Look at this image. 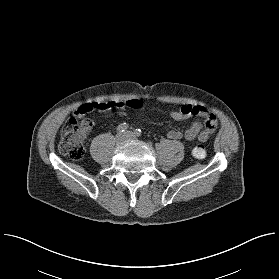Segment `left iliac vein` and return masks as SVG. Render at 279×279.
<instances>
[{
    "instance_id": "obj_1",
    "label": "left iliac vein",
    "mask_w": 279,
    "mask_h": 279,
    "mask_svg": "<svg viewBox=\"0 0 279 279\" xmlns=\"http://www.w3.org/2000/svg\"><path fill=\"white\" fill-rule=\"evenodd\" d=\"M135 135L131 131L125 132V139L126 140H135Z\"/></svg>"
}]
</instances>
